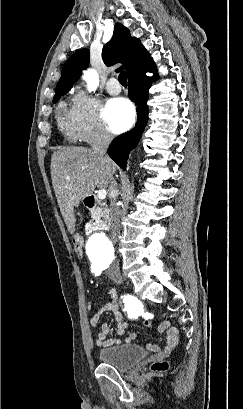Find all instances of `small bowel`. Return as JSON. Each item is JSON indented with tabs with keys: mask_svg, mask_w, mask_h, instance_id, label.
<instances>
[{
	"mask_svg": "<svg viewBox=\"0 0 243 409\" xmlns=\"http://www.w3.org/2000/svg\"><path fill=\"white\" fill-rule=\"evenodd\" d=\"M107 295L109 297V301L98 308L93 316L90 319L91 326L95 327L100 323L101 317L104 313H111L114 316L116 321V333L118 335H124L127 329V322L125 321L119 307L118 297L115 292L111 289L107 290ZM87 310H92L91 302L87 305ZM125 310L128 313V316L132 319H135L140 314V310L136 303L132 300L126 302ZM144 325L148 328L151 327V323L149 320L144 322ZM158 333L166 332V344L164 347L161 346L162 340L159 341L157 344H148V348L152 351L159 352L163 355H169L173 350L176 349L179 343V332L178 329L171 326L169 321L161 322L158 327L156 328ZM111 334L110 326L107 323L101 325L100 332L96 338V344L101 347H110L120 344H128L138 338L136 333H131L128 336L123 338H109Z\"/></svg>",
	"mask_w": 243,
	"mask_h": 409,
	"instance_id": "1",
	"label": "small bowel"
}]
</instances>
